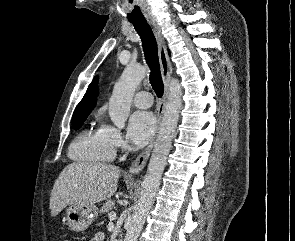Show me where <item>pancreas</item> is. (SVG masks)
Instances as JSON below:
<instances>
[{
  "instance_id": "pancreas-1",
  "label": "pancreas",
  "mask_w": 295,
  "mask_h": 241,
  "mask_svg": "<svg viewBox=\"0 0 295 241\" xmlns=\"http://www.w3.org/2000/svg\"><path fill=\"white\" fill-rule=\"evenodd\" d=\"M115 206V202L112 200H107L102 208L100 209V214H105L108 213L109 211H111Z\"/></svg>"
}]
</instances>
